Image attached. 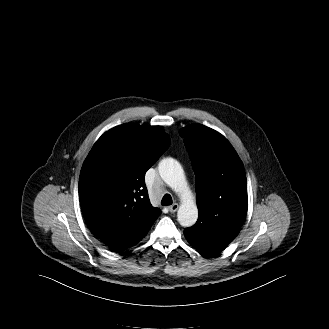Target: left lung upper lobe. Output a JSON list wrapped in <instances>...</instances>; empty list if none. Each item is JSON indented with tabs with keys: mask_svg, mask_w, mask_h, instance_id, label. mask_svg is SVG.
Listing matches in <instances>:
<instances>
[{
	"mask_svg": "<svg viewBox=\"0 0 329 329\" xmlns=\"http://www.w3.org/2000/svg\"><path fill=\"white\" fill-rule=\"evenodd\" d=\"M196 174L199 217L187 228L193 239L214 240L224 230H240L248 199L242 161L217 131L200 124L180 131Z\"/></svg>",
	"mask_w": 329,
	"mask_h": 329,
	"instance_id": "5c2ea615",
	"label": "left lung upper lobe"
}]
</instances>
